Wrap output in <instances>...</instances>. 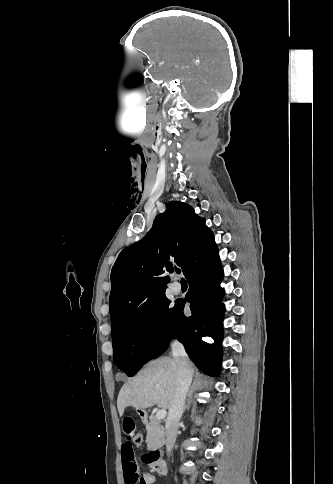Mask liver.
I'll list each match as a JSON object with an SVG mask.
<instances>
[{"instance_id": "1", "label": "liver", "mask_w": 333, "mask_h": 484, "mask_svg": "<svg viewBox=\"0 0 333 484\" xmlns=\"http://www.w3.org/2000/svg\"><path fill=\"white\" fill-rule=\"evenodd\" d=\"M178 386V364L174 358L161 357L149 362L127 381L117 398V408L123 416L126 407L147 409L157 405L170 409Z\"/></svg>"}]
</instances>
